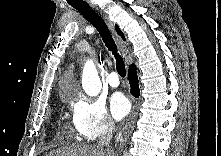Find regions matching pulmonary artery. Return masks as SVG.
I'll return each mask as SVG.
<instances>
[{"instance_id":"pulmonary-artery-1","label":"pulmonary artery","mask_w":221,"mask_h":156,"mask_svg":"<svg viewBox=\"0 0 221 156\" xmlns=\"http://www.w3.org/2000/svg\"><path fill=\"white\" fill-rule=\"evenodd\" d=\"M108 83L111 87H118L119 85V78H118V74L116 72H111L109 74V77H108Z\"/></svg>"}]
</instances>
